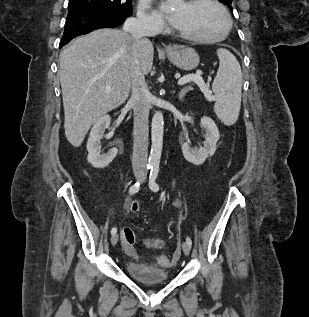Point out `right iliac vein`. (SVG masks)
Instances as JSON below:
<instances>
[{"label": "right iliac vein", "instance_id": "right-iliac-vein-1", "mask_svg": "<svg viewBox=\"0 0 309 317\" xmlns=\"http://www.w3.org/2000/svg\"><path fill=\"white\" fill-rule=\"evenodd\" d=\"M134 175H135V178H136L137 180H139V179L142 178L143 173H142L141 171L137 170V171H135ZM118 239H119L118 234L112 235V237H111V244H112L113 246L116 245L117 242H118Z\"/></svg>", "mask_w": 309, "mask_h": 317}]
</instances>
